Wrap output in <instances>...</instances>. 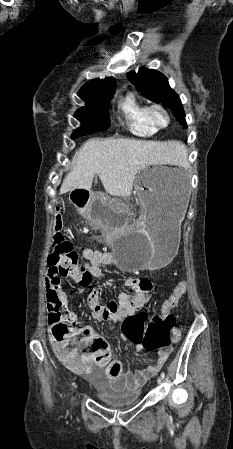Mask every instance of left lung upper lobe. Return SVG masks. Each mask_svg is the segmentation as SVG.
Returning a JSON list of instances; mask_svg holds the SVG:
<instances>
[{"mask_svg": "<svg viewBox=\"0 0 233 449\" xmlns=\"http://www.w3.org/2000/svg\"><path fill=\"white\" fill-rule=\"evenodd\" d=\"M128 79L136 86L138 92L155 103L168 107L175 118L185 127V113L179 96L169 86L168 79L160 72L142 68L138 73L131 71Z\"/></svg>", "mask_w": 233, "mask_h": 449, "instance_id": "5c2ea615", "label": "left lung upper lobe"}]
</instances>
